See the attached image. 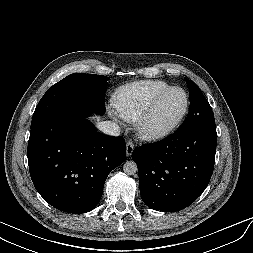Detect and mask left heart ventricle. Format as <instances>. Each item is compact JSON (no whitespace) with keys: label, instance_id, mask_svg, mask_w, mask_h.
I'll list each match as a JSON object with an SVG mask.
<instances>
[{"label":"left heart ventricle","instance_id":"1","mask_svg":"<svg viewBox=\"0 0 253 253\" xmlns=\"http://www.w3.org/2000/svg\"><path fill=\"white\" fill-rule=\"evenodd\" d=\"M184 102V96L180 91H173L167 94L160 101L149 119V127L161 129L170 125L180 115Z\"/></svg>","mask_w":253,"mask_h":253}]
</instances>
